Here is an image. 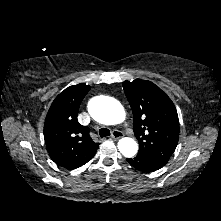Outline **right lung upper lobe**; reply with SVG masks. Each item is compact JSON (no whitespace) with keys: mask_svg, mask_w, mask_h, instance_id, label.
Returning <instances> with one entry per match:
<instances>
[{"mask_svg":"<svg viewBox=\"0 0 221 221\" xmlns=\"http://www.w3.org/2000/svg\"><path fill=\"white\" fill-rule=\"evenodd\" d=\"M90 88L83 83L66 88L55 98L45 119L48 153L66 169H76L90 161L99 146L91 139L89 128L77 120L79 106Z\"/></svg>","mask_w":221,"mask_h":221,"instance_id":"cb5924a9","label":"right lung upper lobe"}]
</instances>
